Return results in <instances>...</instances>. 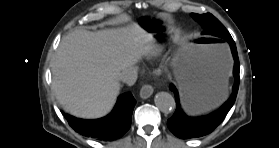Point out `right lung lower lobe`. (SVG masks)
Here are the masks:
<instances>
[{
	"instance_id": "obj_1",
	"label": "right lung lower lobe",
	"mask_w": 279,
	"mask_h": 148,
	"mask_svg": "<svg viewBox=\"0 0 279 148\" xmlns=\"http://www.w3.org/2000/svg\"><path fill=\"white\" fill-rule=\"evenodd\" d=\"M136 101L130 92L119 96L114 110L106 117L96 120L79 119L62 111L69 125L78 133L101 141L122 137L130 128Z\"/></svg>"
}]
</instances>
